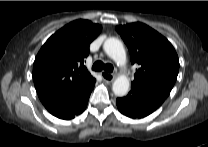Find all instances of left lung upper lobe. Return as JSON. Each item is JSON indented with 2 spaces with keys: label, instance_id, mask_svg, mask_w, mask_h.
<instances>
[{
  "label": "left lung upper lobe",
  "instance_id": "5c2ea615",
  "mask_svg": "<svg viewBox=\"0 0 208 147\" xmlns=\"http://www.w3.org/2000/svg\"><path fill=\"white\" fill-rule=\"evenodd\" d=\"M116 31L128 47L131 63L140 66L131 85L167 98L179 71V59L172 44L143 23L117 26Z\"/></svg>",
  "mask_w": 208,
  "mask_h": 147
}]
</instances>
